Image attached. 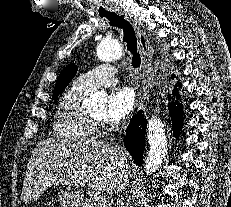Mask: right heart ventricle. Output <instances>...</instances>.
Listing matches in <instances>:
<instances>
[{
	"instance_id": "1",
	"label": "right heart ventricle",
	"mask_w": 231,
	"mask_h": 207,
	"mask_svg": "<svg viewBox=\"0 0 231 207\" xmlns=\"http://www.w3.org/2000/svg\"><path fill=\"white\" fill-rule=\"evenodd\" d=\"M88 94L75 83L63 94L55 115L56 137L70 142H82L95 136L97 127L87 118L83 109V100Z\"/></svg>"
}]
</instances>
